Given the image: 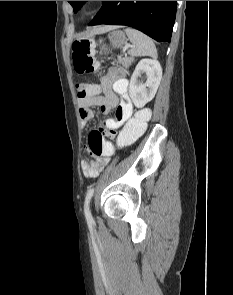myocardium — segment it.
<instances>
[{
    "instance_id": "myocardium-1",
    "label": "myocardium",
    "mask_w": 233,
    "mask_h": 295,
    "mask_svg": "<svg viewBox=\"0 0 233 295\" xmlns=\"http://www.w3.org/2000/svg\"><path fill=\"white\" fill-rule=\"evenodd\" d=\"M93 2L90 1V2H87L86 3V6H85V9H89L91 6H92Z\"/></svg>"
}]
</instances>
